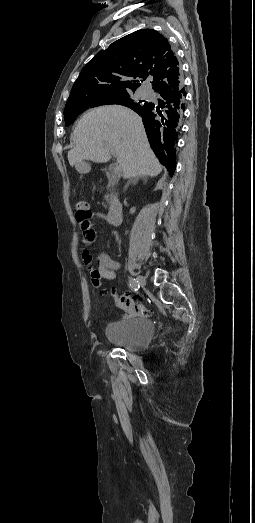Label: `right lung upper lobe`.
<instances>
[{"mask_svg": "<svg viewBox=\"0 0 255 523\" xmlns=\"http://www.w3.org/2000/svg\"><path fill=\"white\" fill-rule=\"evenodd\" d=\"M146 79L159 94L158 102L140 104L131 100L125 106L142 117L151 148L173 174L186 92L177 57L157 31H135L96 54L80 72L66 104L132 93Z\"/></svg>", "mask_w": 255, "mask_h": 523, "instance_id": "obj_1", "label": "right lung upper lobe"}]
</instances>
